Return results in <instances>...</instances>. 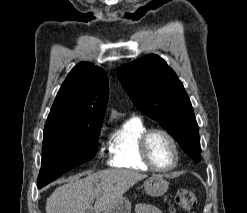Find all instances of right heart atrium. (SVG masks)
<instances>
[{"instance_id":"1","label":"right heart atrium","mask_w":247,"mask_h":213,"mask_svg":"<svg viewBox=\"0 0 247 213\" xmlns=\"http://www.w3.org/2000/svg\"><path fill=\"white\" fill-rule=\"evenodd\" d=\"M101 154L103 155V154H104V152H103V151H101Z\"/></svg>"}]
</instances>
